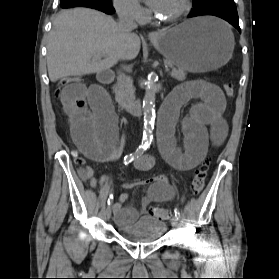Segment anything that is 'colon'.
Instances as JSON below:
<instances>
[{
    "label": "colon",
    "instance_id": "1",
    "mask_svg": "<svg viewBox=\"0 0 279 279\" xmlns=\"http://www.w3.org/2000/svg\"><path fill=\"white\" fill-rule=\"evenodd\" d=\"M78 78L76 77H68L59 80L58 87L56 89V95L59 96L62 89L69 84L77 83ZM223 89L225 94L228 97H232L234 94V88L231 83H225L223 85ZM76 164H83V159L79 156L75 157ZM209 171V161H203L196 169L194 170L193 178L191 181V191L194 195H199L205 186L206 177ZM149 214L157 219L166 220L170 218L171 212L168 209L152 206L149 208Z\"/></svg>",
    "mask_w": 279,
    "mask_h": 279
}]
</instances>
